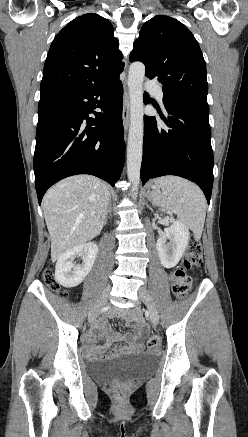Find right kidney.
Returning <instances> with one entry per match:
<instances>
[{
  "mask_svg": "<svg viewBox=\"0 0 248 437\" xmlns=\"http://www.w3.org/2000/svg\"><path fill=\"white\" fill-rule=\"evenodd\" d=\"M98 253V246L93 243H85L75 246L63 253L55 266V280L66 288L76 287L82 283L91 271ZM82 255L81 265H75L73 260Z\"/></svg>",
  "mask_w": 248,
  "mask_h": 437,
  "instance_id": "ca27d5eb",
  "label": "right kidney"
}]
</instances>
